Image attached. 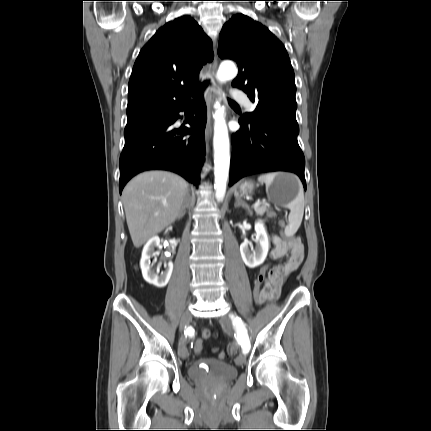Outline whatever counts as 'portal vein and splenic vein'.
<instances>
[{
  "label": "portal vein and splenic vein",
  "instance_id": "obj_1",
  "mask_svg": "<svg viewBox=\"0 0 431 431\" xmlns=\"http://www.w3.org/2000/svg\"><path fill=\"white\" fill-rule=\"evenodd\" d=\"M261 205V202L260 201H257L254 205H253V207L254 208H256V207H259Z\"/></svg>",
  "mask_w": 431,
  "mask_h": 431
}]
</instances>
